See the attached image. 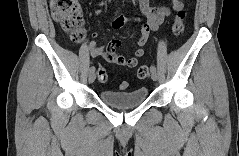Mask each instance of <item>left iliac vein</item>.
Returning <instances> with one entry per match:
<instances>
[{
	"label": "left iliac vein",
	"mask_w": 239,
	"mask_h": 156,
	"mask_svg": "<svg viewBox=\"0 0 239 156\" xmlns=\"http://www.w3.org/2000/svg\"><path fill=\"white\" fill-rule=\"evenodd\" d=\"M151 78H152L153 81H157L158 74H157L156 70L155 71H151Z\"/></svg>",
	"instance_id": "left-iliac-vein-1"
}]
</instances>
